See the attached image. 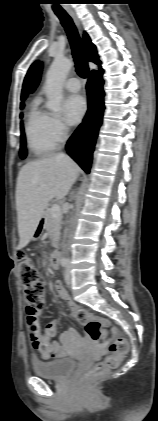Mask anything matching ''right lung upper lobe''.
Wrapping results in <instances>:
<instances>
[{"label": "right lung upper lobe", "mask_w": 158, "mask_h": 421, "mask_svg": "<svg viewBox=\"0 0 158 421\" xmlns=\"http://www.w3.org/2000/svg\"><path fill=\"white\" fill-rule=\"evenodd\" d=\"M83 46L85 48L86 54H87V58L88 60H90L91 62H94L96 64H100V60L98 59V55H97V51H96V47L95 45L91 42L89 36L85 33L84 37H83ZM38 66V61L34 62L31 67L28 70V73L24 79V83H23V89H22V94H21V100H25L27 95H28V89L30 87L32 78L35 74V70ZM21 105H24V103L22 102Z\"/></svg>", "instance_id": "obj_1"}]
</instances>
